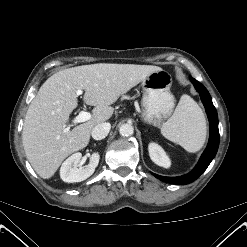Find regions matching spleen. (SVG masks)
Instances as JSON below:
<instances>
[{
    "label": "spleen",
    "mask_w": 247,
    "mask_h": 247,
    "mask_svg": "<svg viewBox=\"0 0 247 247\" xmlns=\"http://www.w3.org/2000/svg\"><path fill=\"white\" fill-rule=\"evenodd\" d=\"M161 133L188 152L195 153L203 147L206 139L205 117L189 95H182L173 115L162 125Z\"/></svg>",
    "instance_id": "obj_1"
}]
</instances>
